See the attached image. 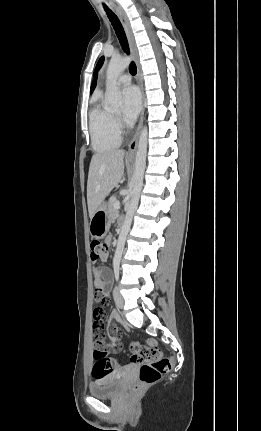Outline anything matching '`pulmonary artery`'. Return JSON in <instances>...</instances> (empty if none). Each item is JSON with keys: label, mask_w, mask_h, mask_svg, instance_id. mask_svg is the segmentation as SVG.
<instances>
[{"label": "pulmonary artery", "mask_w": 261, "mask_h": 431, "mask_svg": "<svg viewBox=\"0 0 261 431\" xmlns=\"http://www.w3.org/2000/svg\"><path fill=\"white\" fill-rule=\"evenodd\" d=\"M131 82V77L128 74H123L119 76L118 83L121 85H128Z\"/></svg>", "instance_id": "obj_1"}]
</instances>
